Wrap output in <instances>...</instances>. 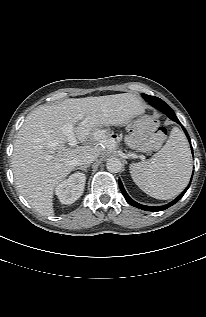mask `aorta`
Returning <instances> with one entry per match:
<instances>
[{
  "label": "aorta",
  "instance_id": "obj_1",
  "mask_svg": "<svg viewBox=\"0 0 206 317\" xmlns=\"http://www.w3.org/2000/svg\"><path fill=\"white\" fill-rule=\"evenodd\" d=\"M107 170L111 173H118L122 169V163L118 158H110L106 163Z\"/></svg>",
  "mask_w": 206,
  "mask_h": 317
}]
</instances>
